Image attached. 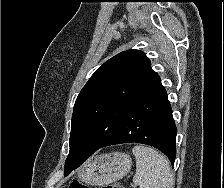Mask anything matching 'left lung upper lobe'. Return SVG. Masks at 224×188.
I'll use <instances>...</instances> for the list:
<instances>
[{"label": "left lung upper lobe", "instance_id": "obj_1", "mask_svg": "<svg viewBox=\"0 0 224 188\" xmlns=\"http://www.w3.org/2000/svg\"><path fill=\"white\" fill-rule=\"evenodd\" d=\"M159 81L150 60L135 49L115 55L97 69L74 105L65 170L98 150L132 103Z\"/></svg>", "mask_w": 224, "mask_h": 188}]
</instances>
